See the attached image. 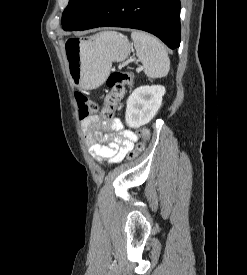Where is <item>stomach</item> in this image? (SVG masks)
<instances>
[{"instance_id":"obj_1","label":"stomach","mask_w":247,"mask_h":275,"mask_svg":"<svg viewBox=\"0 0 247 275\" xmlns=\"http://www.w3.org/2000/svg\"><path fill=\"white\" fill-rule=\"evenodd\" d=\"M97 40L68 39L65 42V60L71 83L81 89L100 86L109 75L112 62L128 58L131 44L126 36L109 31Z\"/></svg>"}]
</instances>
